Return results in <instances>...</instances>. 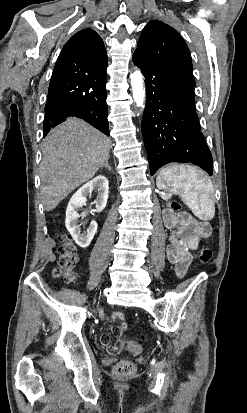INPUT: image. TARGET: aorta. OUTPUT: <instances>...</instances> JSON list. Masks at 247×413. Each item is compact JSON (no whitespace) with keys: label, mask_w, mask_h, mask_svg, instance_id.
I'll list each match as a JSON object with an SVG mask.
<instances>
[{"label":"aorta","mask_w":247,"mask_h":413,"mask_svg":"<svg viewBox=\"0 0 247 413\" xmlns=\"http://www.w3.org/2000/svg\"><path fill=\"white\" fill-rule=\"evenodd\" d=\"M133 98L138 107L144 108L145 89L143 85V75L139 69L130 74Z\"/></svg>","instance_id":"obj_1"}]
</instances>
